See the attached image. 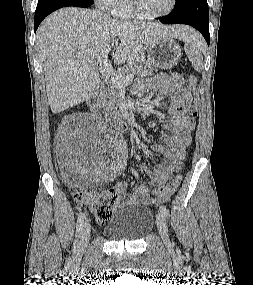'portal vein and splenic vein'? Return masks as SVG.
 Instances as JSON below:
<instances>
[{"instance_id": "obj_1", "label": "portal vein and splenic vein", "mask_w": 253, "mask_h": 285, "mask_svg": "<svg viewBox=\"0 0 253 285\" xmlns=\"http://www.w3.org/2000/svg\"><path fill=\"white\" fill-rule=\"evenodd\" d=\"M110 50L111 49H108L106 53H101V55L96 56L106 78H108L113 84H116L118 86H123L125 84L131 83L134 78L133 74L123 76L122 74L115 71L109 63L108 53Z\"/></svg>"}]
</instances>
